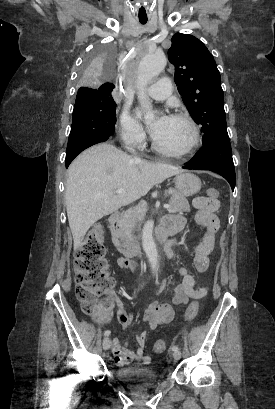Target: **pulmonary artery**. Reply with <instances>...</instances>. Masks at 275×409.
<instances>
[{"label": "pulmonary artery", "mask_w": 275, "mask_h": 409, "mask_svg": "<svg viewBox=\"0 0 275 409\" xmlns=\"http://www.w3.org/2000/svg\"><path fill=\"white\" fill-rule=\"evenodd\" d=\"M174 93V86L169 85V81L166 79H160L158 85H151L149 89V95L156 100H163L168 94Z\"/></svg>", "instance_id": "obj_1"}]
</instances>
